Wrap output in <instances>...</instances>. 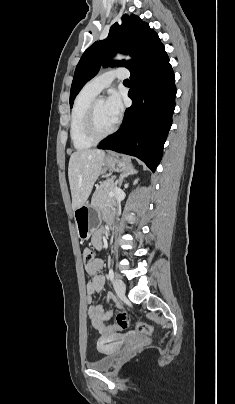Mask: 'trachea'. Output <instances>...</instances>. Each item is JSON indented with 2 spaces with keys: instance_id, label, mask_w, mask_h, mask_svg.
Returning <instances> with one entry per match:
<instances>
[{
  "instance_id": "1",
  "label": "trachea",
  "mask_w": 235,
  "mask_h": 404,
  "mask_svg": "<svg viewBox=\"0 0 235 404\" xmlns=\"http://www.w3.org/2000/svg\"><path fill=\"white\" fill-rule=\"evenodd\" d=\"M124 83H130V81L128 79L124 80Z\"/></svg>"
}]
</instances>
